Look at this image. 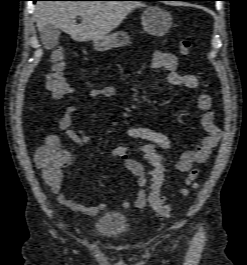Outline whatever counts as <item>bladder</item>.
<instances>
[{
    "mask_svg": "<svg viewBox=\"0 0 247 265\" xmlns=\"http://www.w3.org/2000/svg\"><path fill=\"white\" fill-rule=\"evenodd\" d=\"M129 220L125 214L115 211H106L98 215L95 229L106 237H116L129 228Z\"/></svg>",
    "mask_w": 247,
    "mask_h": 265,
    "instance_id": "obj_1",
    "label": "bladder"
}]
</instances>
